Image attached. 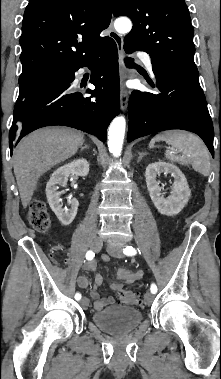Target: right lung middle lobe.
<instances>
[{
	"label": "right lung middle lobe",
	"mask_w": 221,
	"mask_h": 379,
	"mask_svg": "<svg viewBox=\"0 0 221 379\" xmlns=\"http://www.w3.org/2000/svg\"><path fill=\"white\" fill-rule=\"evenodd\" d=\"M38 76V75H37ZM36 77V76H35ZM35 77H32L30 79H27V80H24V81H19V84H20V93H19V97H18V100H21L24 98V93H25V90H26V84L32 80L33 78Z\"/></svg>",
	"instance_id": "1"
}]
</instances>
